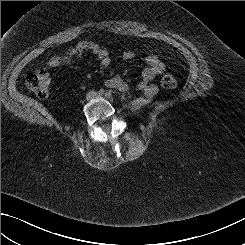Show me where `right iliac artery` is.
<instances>
[{
	"label": "right iliac artery",
	"mask_w": 245,
	"mask_h": 245,
	"mask_svg": "<svg viewBox=\"0 0 245 245\" xmlns=\"http://www.w3.org/2000/svg\"><path fill=\"white\" fill-rule=\"evenodd\" d=\"M98 92H99V95H103L105 93V90L104 89H100Z\"/></svg>",
	"instance_id": "obj_1"
}]
</instances>
